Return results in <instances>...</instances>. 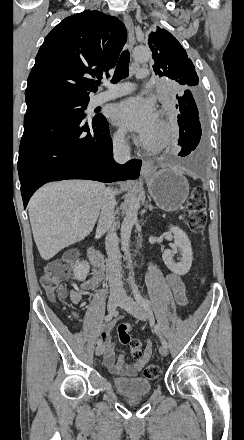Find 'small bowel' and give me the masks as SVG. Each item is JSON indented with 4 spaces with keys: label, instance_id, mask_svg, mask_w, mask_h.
Returning a JSON list of instances; mask_svg holds the SVG:
<instances>
[{
    "label": "small bowel",
    "instance_id": "c3829d8e",
    "mask_svg": "<svg viewBox=\"0 0 244 440\" xmlns=\"http://www.w3.org/2000/svg\"><path fill=\"white\" fill-rule=\"evenodd\" d=\"M102 271L94 269L90 276L85 278L81 284L80 289L74 290L71 293V299L73 303L79 304L82 301V291L90 290L98 286L102 281ZM167 283L172 291L175 302L178 306H186L188 304V297L186 295V288L182 279L174 273H170L166 276ZM104 336V367L114 376L121 378H135L142 370L152 355L153 341L149 340L146 344L142 360L139 363L133 362L127 364L125 356L120 354L115 357V344L110 340L109 333L103 332Z\"/></svg>",
    "mask_w": 244,
    "mask_h": 440
}]
</instances>
